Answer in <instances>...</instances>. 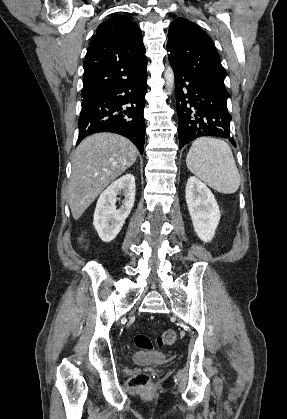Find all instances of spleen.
Wrapping results in <instances>:
<instances>
[{
	"mask_svg": "<svg viewBox=\"0 0 287 419\" xmlns=\"http://www.w3.org/2000/svg\"><path fill=\"white\" fill-rule=\"evenodd\" d=\"M188 169L222 194H233L240 186V174L230 146L221 139L195 140L186 157Z\"/></svg>",
	"mask_w": 287,
	"mask_h": 419,
	"instance_id": "obj_1",
	"label": "spleen"
}]
</instances>
